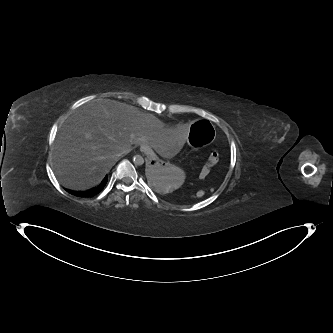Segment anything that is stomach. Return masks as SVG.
Returning a JSON list of instances; mask_svg holds the SVG:
<instances>
[{
  "mask_svg": "<svg viewBox=\"0 0 333 333\" xmlns=\"http://www.w3.org/2000/svg\"><path fill=\"white\" fill-rule=\"evenodd\" d=\"M214 129L208 120L200 119L194 122L191 126L188 145L193 149H198L203 145L213 143L216 137ZM144 146L145 144H141V151H144ZM149 156L151 160L146 170L149 183L162 193L179 188L184 178L182 169L170 164L165 165L155 155L149 154Z\"/></svg>",
  "mask_w": 333,
  "mask_h": 333,
  "instance_id": "stomach-1",
  "label": "stomach"
}]
</instances>
